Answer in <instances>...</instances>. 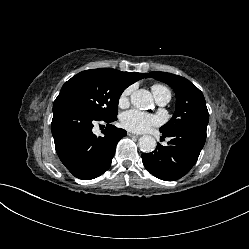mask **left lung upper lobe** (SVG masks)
<instances>
[{
    "mask_svg": "<svg viewBox=\"0 0 249 249\" xmlns=\"http://www.w3.org/2000/svg\"><path fill=\"white\" fill-rule=\"evenodd\" d=\"M152 77L171 86L176 94V110L173 117L160 128L168 134L191 126L207 127L209 113L202 92L186 78L166 72H150Z\"/></svg>",
    "mask_w": 249,
    "mask_h": 249,
    "instance_id": "1",
    "label": "left lung upper lobe"
}]
</instances>
